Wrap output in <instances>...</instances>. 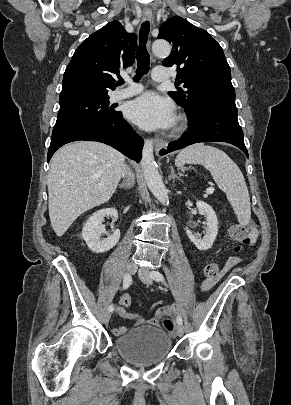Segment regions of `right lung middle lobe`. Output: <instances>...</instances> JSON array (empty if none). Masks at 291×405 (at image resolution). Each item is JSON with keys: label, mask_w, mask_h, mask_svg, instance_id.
<instances>
[{"label": "right lung middle lobe", "mask_w": 291, "mask_h": 405, "mask_svg": "<svg viewBox=\"0 0 291 405\" xmlns=\"http://www.w3.org/2000/svg\"><path fill=\"white\" fill-rule=\"evenodd\" d=\"M118 112L109 107V96L60 101L52 134L80 124L106 122L114 118Z\"/></svg>", "instance_id": "right-lung-middle-lobe-1"}]
</instances>
